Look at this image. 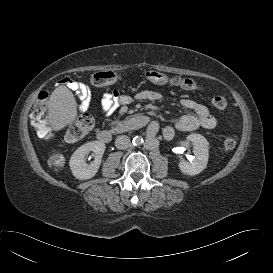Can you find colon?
Instances as JSON below:
<instances>
[{"label":"colon","instance_id":"colon-1","mask_svg":"<svg viewBox=\"0 0 273 273\" xmlns=\"http://www.w3.org/2000/svg\"><path fill=\"white\" fill-rule=\"evenodd\" d=\"M120 76L111 71L97 72L91 76V83L96 86H107L120 80ZM145 79L153 84H171L186 87L191 90L197 89L195 81L180 76L169 77L166 74L154 70L145 73ZM48 92L42 91L31 113V124L35 128L37 134L41 138L49 139L52 137V130L48 123L47 100ZM212 104L217 109H224L227 101L223 96H214ZM93 128V119L88 114L80 115L69 128L66 139L68 142H76L84 138ZM237 140L233 135H228L224 139V146L227 149H233ZM50 165L58 168L61 165V155L54 154L50 158Z\"/></svg>","mask_w":273,"mask_h":273}]
</instances>
